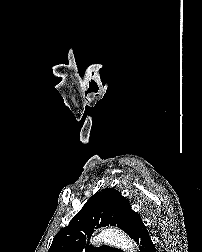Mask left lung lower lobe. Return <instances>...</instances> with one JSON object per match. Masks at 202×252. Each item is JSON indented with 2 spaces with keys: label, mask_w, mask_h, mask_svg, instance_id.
I'll return each instance as SVG.
<instances>
[{
  "label": "left lung lower lobe",
  "mask_w": 202,
  "mask_h": 252,
  "mask_svg": "<svg viewBox=\"0 0 202 252\" xmlns=\"http://www.w3.org/2000/svg\"><path fill=\"white\" fill-rule=\"evenodd\" d=\"M134 240L139 245L140 252H156L155 246L152 243L147 228L142 220L135 226Z\"/></svg>",
  "instance_id": "1"
}]
</instances>
